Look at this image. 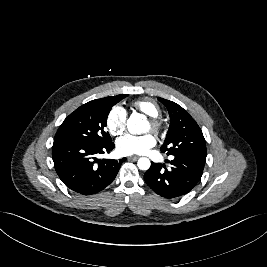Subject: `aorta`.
Wrapping results in <instances>:
<instances>
[{
	"mask_svg": "<svg viewBox=\"0 0 267 267\" xmlns=\"http://www.w3.org/2000/svg\"><path fill=\"white\" fill-rule=\"evenodd\" d=\"M146 125L145 117L138 113L131 114L127 120V128L131 134H142L146 132ZM137 166L140 170H148L151 162L148 158L142 157L138 160Z\"/></svg>",
	"mask_w": 267,
	"mask_h": 267,
	"instance_id": "aorta-1",
	"label": "aorta"
}]
</instances>
